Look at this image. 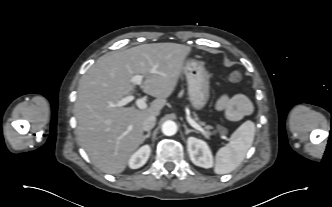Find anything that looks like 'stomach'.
Listing matches in <instances>:
<instances>
[{"label": "stomach", "instance_id": "obj_1", "mask_svg": "<svg viewBox=\"0 0 332 207\" xmlns=\"http://www.w3.org/2000/svg\"><path fill=\"white\" fill-rule=\"evenodd\" d=\"M188 84V97L195 110H202L210 97L209 75L204 63L195 59L188 60L184 66Z\"/></svg>", "mask_w": 332, "mask_h": 207}]
</instances>
